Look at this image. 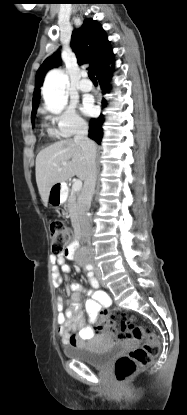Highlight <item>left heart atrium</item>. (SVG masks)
I'll return each mask as SVG.
<instances>
[{"label": "left heart atrium", "mask_w": 187, "mask_h": 415, "mask_svg": "<svg viewBox=\"0 0 187 415\" xmlns=\"http://www.w3.org/2000/svg\"><path fill=\"white\" fill-rule=\"evenodd\" d=\"M83 111L87 114H92L94 110L93 103L90 99H86L83 103Z\"/></svg>", "instance_id": "39dd6f15"}]
</instances>
